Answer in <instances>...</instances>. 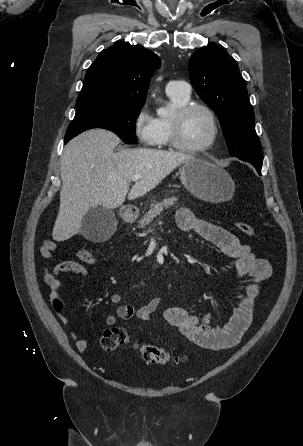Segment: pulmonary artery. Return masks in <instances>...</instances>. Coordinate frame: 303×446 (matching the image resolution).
I'll return each mask as SVG.
<instances>
[{
    "label": "pulmonary artery",
    "instance_id": "1",
    "mask_svg": "<svg viewBox=\"0 0 303 446\" xmlns=\"http://www.w3.org/2000/svg\"><path fill=\"white\" fill-rule=\"evenodd\" d=\"M167 93H178L184 96L190 95V86L181 80H172L166 86Z\"/></svg>",
    "mask_w": 303,
    "mask_h": 446
}]
</instances>
